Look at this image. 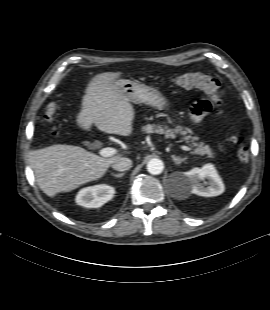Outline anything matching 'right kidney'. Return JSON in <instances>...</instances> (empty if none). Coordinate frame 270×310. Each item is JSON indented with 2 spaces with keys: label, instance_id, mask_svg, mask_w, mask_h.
I'll return each instance as SVG.
<instances>
[{
  "label": "right kidney",
  "instance_id": "right-kidney-1",
  "mask_svg": "<svg viewBox=\"0 0 270 310\" xmlns=\"http://www.w3.org/2000/svg\"><path fill=\"white\" fill-rule=\"evenodd\" d=\"M115 189L112 186L100 184L81 189L76 196V203L86 208H98L111 200Z\"/></svg>",
  "mask_w": 270,
  "mask_h": 310
}]
</instances>
